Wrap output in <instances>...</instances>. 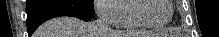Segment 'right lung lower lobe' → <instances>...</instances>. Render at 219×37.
Instances as JSON below:
<instances>
[{"mask_svg": "<svg viewBox=\"0 0 219 37\" xmlns=\"http://www.w3.org/2000/svg\"><path fill=\"white\" fill-rule=\"evenodd\" d=\"M27 30L29 36L48 19L57 16H74L89 21L95 13L89 0H27Z\"/></svg>", "mask_w": 219, "mask_h": 37, "instance_id": "98d812e1", "label": "right lung lower lobe"}]
</instances>
